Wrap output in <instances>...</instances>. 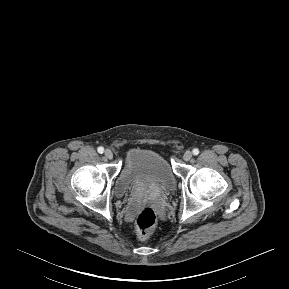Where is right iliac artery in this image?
Returning <instances> with one entry per match:
<instances>
[{"instance_id": "82829eb1", "label": "right iliac artery", "mask_w": 289, "mask_h": 289, "mask_svg": "<svg viewBox=\"0 0 289 289\" xmlns=\"http://www.w3.org/2000/svg\"><path fill=\"white\" fill-rule=\"evenodd\" d=\"M97 151H98V153L102 154L104 152V148L103 147H98Z\"/></svg>"}]
</instances>
